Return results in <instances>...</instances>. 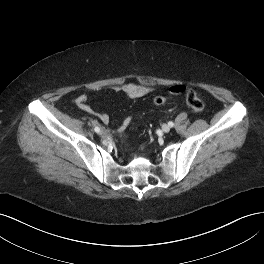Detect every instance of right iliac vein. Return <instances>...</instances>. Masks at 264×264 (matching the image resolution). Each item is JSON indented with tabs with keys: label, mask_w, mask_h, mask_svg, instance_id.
Returning <instances> with one entry per match:
<instances>
[{
	"label": "right iliac vein",
	"mask_w": 264,
	"mask_h": 264,
	"mask_svg": "<svg viewBox=\"0 0 264 264\" xmlns=\"http://www.w3.org/2000/svg\"><path fill=\"white\" fill-rule=\"evenodd\" d=\"M100 134L102 136H106L107 135V131L105 129H102L101 132H100Z\"/></svg>",
	"instance_id": "obj_1"
}]
</instances>
